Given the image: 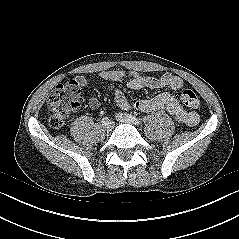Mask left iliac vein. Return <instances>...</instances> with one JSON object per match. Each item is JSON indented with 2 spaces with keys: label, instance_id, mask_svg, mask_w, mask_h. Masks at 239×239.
Masks as SVG:
<instances>
[{
  "label": "left iliac vein",
  "instance_id": "left-iliac-vein-1",
  "mask_svg": "<svg viewBox=\"0 0 239 239\" xmlns=\"http://www.w3.org/2000/svg\"><path fill=\"white\" fill-rule=\"evenodd\" d=\"M116 119H117V121L122 122V123H127V124H131V125L138 124L134 119L130 118L129 115L124 114V113H117Z\"/></svg>",
  "mask_w": 239,
  "mask_h": 239
}]
</instances>
